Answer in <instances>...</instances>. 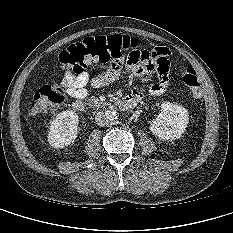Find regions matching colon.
<instances>
[{
  "mask_svg": "<svg viewBox=\"0 0 233 233\" xmlns=\"http://www.w3.org/2000/svg\"><path fill=\"white\" fill-rule=\"evenodd\" d=\"M137 48H140L138 40L125 35L90 37L70 45L60 53L59 71L64 74L65 79L68 75L81 74L92 63L106 65L111 60L124 62L125 54ZM181 80L194 97H201V81L194 69L184 70ZM65 87L64 81L42 86L34 94L31 113L35 115L63 103Z\"/></svg>",
  "mask_w": 233,
  "mask_h": 233,
  "instance_id": "obj_1",
  "label": "colon"
}]
</instances>
